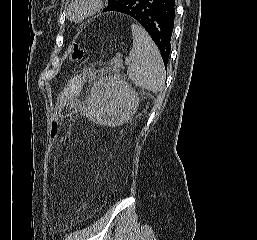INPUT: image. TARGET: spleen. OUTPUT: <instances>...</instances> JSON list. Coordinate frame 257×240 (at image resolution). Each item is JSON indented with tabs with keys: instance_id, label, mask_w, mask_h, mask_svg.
<instances>
[{
	"instance_id": "1",
	"label": "spleen",
	"mask_w": 257,
	"mask_h": 240,
	"mask_svg": "<svg viewBox=\"0 0 257 240\" xmlns=\"http://www.w3.org/2000/svg\"><path fill=\"white\" fill-rule=\"evenodd\" d=\"M133 47L129 53L132 63L127 74L134 85L157 93L164 90L165 70L160 52L149 34L136 24L131 25Z\"/></svg>"
}]
</instances>
